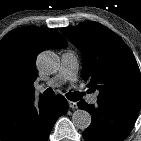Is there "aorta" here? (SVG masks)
<instances>
[{
	"mask_svg": "<svg viewBox=\"0 0 141 141\" xmlns=\"http://www.w3.org/2000/svg\"><path fill=\"white\" fill-rule=\"evenodd\" d=\"M37 66L44 73L53 74L59 69V57L53 51H43L37 57ZM72 122L75 127L84 130L91 124V115L85 110L78 109L72 115Z\"/></svg>",
	"mask_w": 141,
	"mask_h": 141,
	"instance_id": "762f6f07",
	"label": "aorta"
}]
</instances>
